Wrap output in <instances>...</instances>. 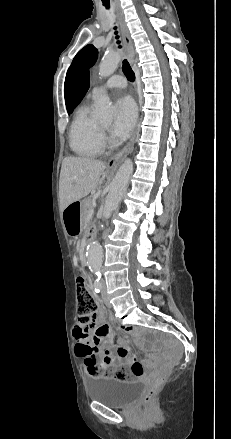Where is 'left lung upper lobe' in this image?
I'll return each instance as SVG.
<instances>
[{
	"label": "left lung upper lobe",
	"instance_id": "left-lung-upper-lobe-1",
	"mask_svg": "<svg viewBox=\"0 0 231 439\" xmlns=\"http://www.w3.org/2000/svg\"><path fill=\"white\" fill-rule=\"evenodd\" d=\"M97 57V49L90 44L82 48L74 57L67 71L64 84V96L68 112L70 110L73 93L82 74L96 62Z\"/></svg>",
	"mask_w": 231,
	"mask_h": 439
}]
</instances>
